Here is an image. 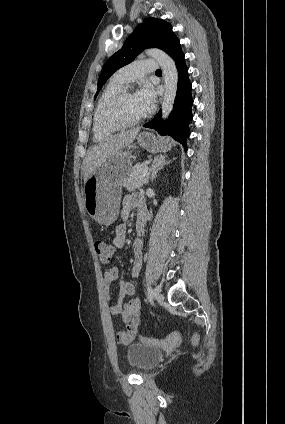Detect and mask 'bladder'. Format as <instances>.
Masks as SVG:
<instances>
[{
    "instance_id": "31cf9c89",
    "label": "bladder",
    "mask_w": 285,
    "mask_h": 424,
    "mask_svg": "<svg viewBox=\"0 0 285 424\" xmlns=\"http://www.w3.org/2000/svg\"><path fill=\"white\" fill-rule=\"evenodd\" d=\"M126 357L133 369L145 372L155 368L160 363L163 352L154 346L132 343L126 348Z\"/></svg>"
}]
</instances>
